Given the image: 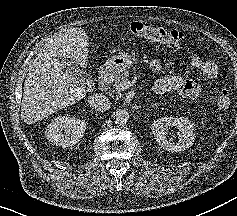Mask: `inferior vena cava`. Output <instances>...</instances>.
<instances>
[{"label": "inferior vena cava", "instance_id": "1", "mask_svg": "<svg viewBox=\"0 0 237 216\" xmlns=\"http://www.w3.org/2000/svg\"><path fill=\"white\" fill-rule=\"evenodd\" d=\"M88 104L100 112L108 111L111 108V102L105 95L95 94L88 97Z\"/></svg>", "mask_w": 237, "mask_h": 216}]
</instances>
